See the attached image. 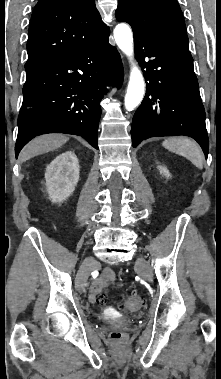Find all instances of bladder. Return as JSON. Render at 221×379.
Wrapping results in <instances>:
<instances>
[{
	"mask_svg": "<svg viewBox=\"0 0 221 379\" xmlns=\"http://www.w3.org/2000/svg\"><path fill=\"white\" fill-rule=\"evenodd\" d=\"M102 317L105 318V319H110V317L107 316V315H103Z\"/></svg>",
	"mask_w": 221,
	"mask_h": 379,
	"instance_id": "1",
	"label": "bladder"
}]
</instances>
